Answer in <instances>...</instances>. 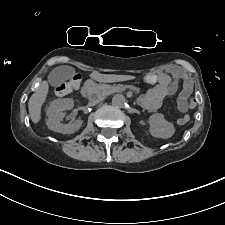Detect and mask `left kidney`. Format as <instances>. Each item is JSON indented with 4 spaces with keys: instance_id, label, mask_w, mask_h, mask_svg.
<instances>
[{
    "instance_id": "1",
    "label": "left kidney",
    "mask_w": 225,
    "mask_h": 225,
    "mask_svg": "<svg viewBox=\"0 0 225 225\" xmlns=\"http://www.w3.org/2000/svg\"><path fill=\"white\" fill-rule=\"evenodd\" d=\"M150 133L152 136L168 139L175 133L173 123L167 121L161 113H155L149 118Z\"/></svg>"
}]
</instances>
